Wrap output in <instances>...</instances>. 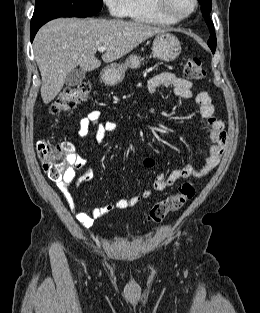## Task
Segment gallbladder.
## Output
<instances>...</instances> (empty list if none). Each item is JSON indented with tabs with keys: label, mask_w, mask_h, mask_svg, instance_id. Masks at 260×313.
<instances>
[{
	"label": "gallbladder",
	"mask_w": 260,
	"mask_h": 313,
	"mask_svg": "<svg viewBox=\"0 0 260 313\" xmlns=\"http://www.w3.org/2000/svg\"><path fill=\"white\" fill-rule=\"evenodd\" d=\"M86 73L82 69H74L65 79V85L67 87H74L79 85L85 79Z\"/></svg>",
	"instance_id": "obj_1"
}]
</instances>
